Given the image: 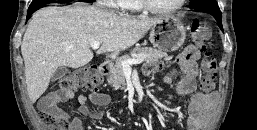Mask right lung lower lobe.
<instances>
[{"label":"right lung lower lobe","mask_w":257,"mask_h":130,"mask_svg":"<svg viewBox=\"0 0 257 130\" xmlns=\"http://www.w3.org/2000/svg\"><path fill=\"white\" fill-rule=\"evenodd\" d=\"M54 3H56V2H58V1H53ZM33 13V12H32ZM31 13L30 12H28V15H27V19H29V15H30Z\"/></svg>","instance_id":"98d812e1"}]
</instances>
